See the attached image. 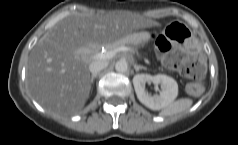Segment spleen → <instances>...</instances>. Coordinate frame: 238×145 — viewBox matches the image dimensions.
Segmentation results:
<instances>
[{
	"label": "spleen",
	"instance_id": "3e777b00",
	"mask_svg": "<svg viewBox=\"0 0 238 145\" xmlns=\"http://www.w3.org/2000/svg\"><path fill=\"white\" fill-rule=\"evenodd\" d=\"M193 101L189 98L178 99L169 105L165 106L160 115L161 116H172L178 113H181L187 109H189L192 105Z\"/></svg>",
	"mask_w": 238,
	"mask_h": 145
}]
</instances>
